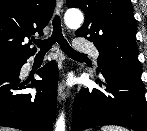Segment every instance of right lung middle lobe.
<instances>
[{
  "label": "right lung middle lobe",
  "mask_w": 147,
  "mask_h": 131,
  "mask_svg": "<svg viewBox=\"0 0 147 131\" xmlns=\"http://www.w3.org/2000/svg\"><path fill=\"white\" fill-rule=\"evenodd\" d=\"M21 61L22 60L0 59V71L17 69Z\"/></svg>",
  "instance_id": "dd1d6c3e"
}]
</instances>
